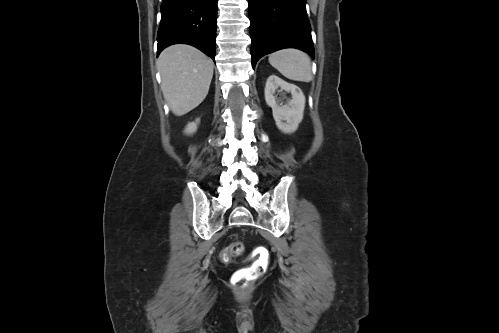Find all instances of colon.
Wrapping results in <instances>:
<instances>
[{"label":"colon","mask_w":499,"mask_h":333,"mask_svg":"<svg viewBox=\"0 0 499 333\" xmlns=\"http://www.w3.org/2000/svg\"><path fill=\"white\" fill-rule=\"evenodd\" d=\"M244 246L241 242H234L223 248L220 252V259L223 262H229L233 257L240 255L243 252ZM257 259L248 268L238 271L233 278V284L237 289H242L246 284L260 277L268 263V251L265 248L258 249L255 252Z\"/></svg>","instance_id":"1"}]
</instances>
